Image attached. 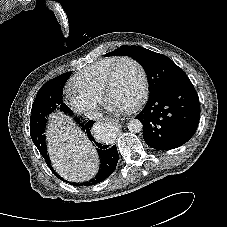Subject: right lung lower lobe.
<instances>
[{
	"mask_svg": "<svg viewBox=\"0 0 227 227\" xmlns=\"http://www.w3.org/2000/svg\"><path fill=\"white\" fill-rule=\"evenodd\" d=\"M95 121L89 120L87 123H80V120H77V123L82 127L83 131L87 133L88 138L95 143V145L98 147L97 151L99 153L100 159H101V165L98 174L95 176L94 179H92L89 182L85 183H71L72 185L75 186H88V185H93L97 184L103 180H105L108 176H110L113 171L115 170L117 166V162L119 159L118 151L116 148V145H102L94 140V138L91 135V127L93 126ZM47 165L50 167L52 172L61 180L65 181L63 178L57 175V173L52 169L50 165V160L48 158V155L43 156Z\"/></svg>",
	"mask_w": 227,
	"mask_h": 227,
	"instance_id": "obj_1",
	"label": "right lung lower lobe"
}]
</instances>
